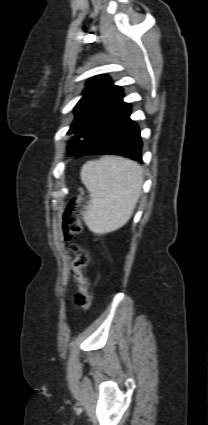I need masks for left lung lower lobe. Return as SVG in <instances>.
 <instances>
[{"label": "left lung lower lobe", "instance_id": "left-lung-lower-lobe-1", "mask_svg": "<svg viewBox=\"0 0 208 425\" xmlns=\"http://www.w3.org/2000/svg\"><path fill=\"white\" fill-rule=\"evenodd\" d=\"M130 113L131 106L123 102L122 93L75 135L80 155L113 154L142 162L140 130Z\"/></svg>", "mask_w": 208, "mask_h": 425}]
</instances>
